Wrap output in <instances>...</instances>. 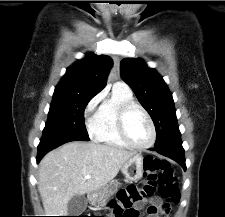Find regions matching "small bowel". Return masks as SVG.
<instances>
[{"instance_id": "obj_1", "label": "small bowel", "mask_w": 225, "mask_h": 217, "mask_svg": "<svg viewBox=\"0 0 225 217\" xmlns=\"http://www.w3.org/2000/svg\"><path fill=\"white\" fill-rule=\"evenodd\" d=\"M142 205V202L141 201H137L136 203V209L140 208ZM164 204L161 203V201L158 199V198H154L152 199V207H156V208H160L162 207ZM165 216L164 217H168L167 214H168V211L166 213H164ZM149 217H157L156 215L154 214H149Z\"/></svg>"}]
</instances>
